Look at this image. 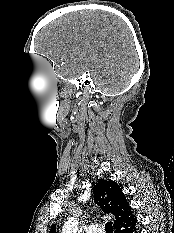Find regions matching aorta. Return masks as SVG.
<instances>
[{"instance_id": "762f6f07", "label": "aorta", "mask_w": 174, "mask_h": 233, "mask_svg": "<svg viewBox=\"0 0 174 233\" xmlns=\"http://www.w3.org/2000/svg\"><path fill=\"white\" fill-rule=\"evenodd\" d=\"M78 231V221L71 217L69 218L62 227V233H77Z\"/></svg>"}]
</instances>
